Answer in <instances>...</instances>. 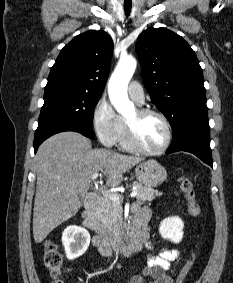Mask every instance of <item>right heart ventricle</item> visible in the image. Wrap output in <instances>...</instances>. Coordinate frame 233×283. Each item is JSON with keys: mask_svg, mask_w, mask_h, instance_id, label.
Segmentation results:
<instances>
[{"mask_svg": "<svg viewBox=\"0 0 233 283\" xmlns=\"http://www.w3.org/2000/svg\"><path fill=\"white\" fill-rule=\"evenodd\" d=\"M120 145L123 149L129 150L131 149L130 145L128 144L127 138H126V131H125V123L122 120V130H121V134L119 137Z\"/></svg>", "mask_w": 233, "mask_h": 283, "instance_id": "obj_1", "label": "right heart ventricle"}]
</instances>
